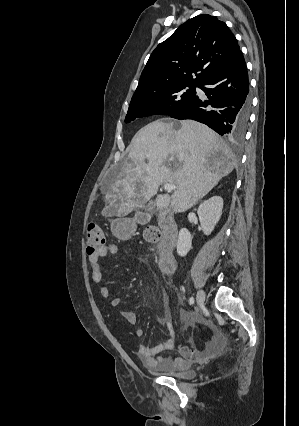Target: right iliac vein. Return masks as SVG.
<instances>
[{
    "label": "right iliac vein",
    "instance_id": "obj_1",
    "mask_svg": "<svg viewBox=\"0 0 299 426\" xmlns=\"http://www.w3.org/2000/svg\"><path fill=\"white\" fill-rule=\"evenodd\" d=\"M205 298V292L203 290H199L196 296L197 305L202 306L205 302Z\"/></svg>",
    "mask_w": 299,
    "mask_h": 426
}]
</instances>
